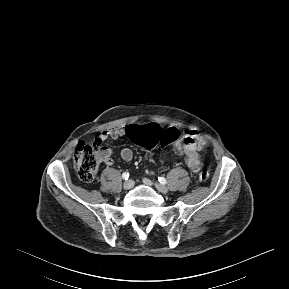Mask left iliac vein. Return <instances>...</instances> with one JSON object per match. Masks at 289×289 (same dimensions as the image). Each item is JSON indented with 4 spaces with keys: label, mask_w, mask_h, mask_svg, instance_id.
Segmentation results:
<instances>
[{
    "label": "left iliac vein",
    "mask_w": 289,
    "mask_h": 289,
    "mask_svg": "<svg viewBox=\"0 0 289 289\" xmlns=\"http://www.w3.org/2000/svg\"><path fill=\"white\" fill-rule=\"evenodd\" d=\"M143 182L148 185V186H155V188L161 192V193H164L166 194L168 192V188L166 186H164L163 184H160V183H153L151 180L147 179V178H144L143 179Z\"/></svg>",
    "instance_id": "left-iliac-vein-1"
}]
</instances>
